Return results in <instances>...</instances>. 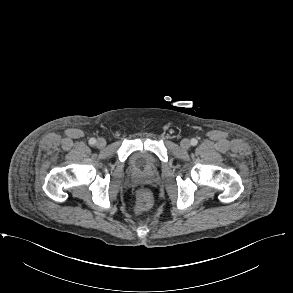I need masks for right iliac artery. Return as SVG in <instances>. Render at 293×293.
<instances>
[{"label":"right iliac artery","instance_id":"right-iliac-artery-1","mask_svg":"<svg viewBox=\"0 0 293 293\" xmlns=\"http://www.w3.org/2000/svg\"><path fill=\"white\" fill-rule=\"evenodd\" d=\"M96 143V139L95 138H91L90 140H89V144L90 145H94Z\"/></svg>","mask_w":293,"mask_h":293}]
</instances>
